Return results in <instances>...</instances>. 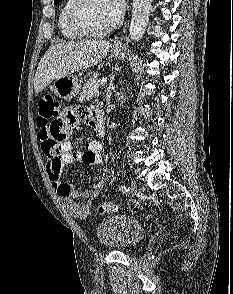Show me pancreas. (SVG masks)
I'll list each match as a JSON object with an SVG mask.
<instances>
[{"label": "pancreas", "mask_w": 233, "mask_h": 294, "mask_svg": "<svg viewBox=\"0 0 233 294\" xmlns=\"http://www.w3.org/2000/svg\"><path fill=\"white\" fill-rule=\"evenodd\" d=\"M99 83H100V75L94 74L90 79H88L81 91L79 96L80 101H88L92 98L99 96Z\"/></svg>", "instance_id": "cf45deb5"}]
</instances>
